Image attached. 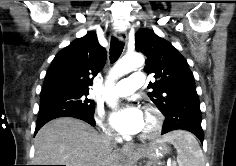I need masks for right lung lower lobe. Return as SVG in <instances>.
<instances>
[{"label": "right lung lower lobe", "instance_id": "98d812e1", "mask_svg": "<svg viewBox=\"0 0 236 166\" xmlns=\"http://www.w3.org/2000/svg\"><path fill=\"white\" fill-rule=\"evenodd\" d=\"M58 117H74L81 119L92 126H95V121L93 119V115L89 114L83 110L69 109L62 112L52 113V114H44L40 115L37 120L36 129L34 135L37 131L48 121L58 118Z\"/></svg>", "mask_w": 236, "mask_h": 166}]
</instances>
